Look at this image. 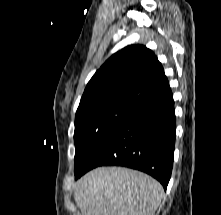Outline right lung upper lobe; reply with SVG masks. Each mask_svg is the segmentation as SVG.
Here are the masks:
<instances>
[{"label": "right lung upper lobe", "mask_w": 221, "mask_h": 215, "mask_svg": "<svg viewBox=\"0 0 221 215\" xmlns=\"http://www.w3.org/2000/svg\"><path fill=\"white\" fill-rule=\"evenodd\" d=\"M169 87L155 54L131 45L112 55L88 82L79 106L97 101L137 105Z\"/></svg>", "instance_id": "1"}]
</instances>
